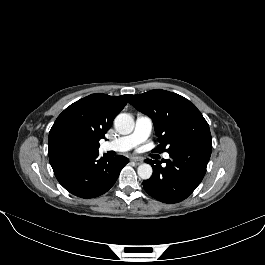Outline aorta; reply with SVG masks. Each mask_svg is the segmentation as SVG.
Listing matches in <instances>:
<instances>
[{
    "label": "aorta",
    "mask_w": 265,
    "mask_h": 265,
    "mask_svg": "<svg viewBox=\"0 0 265 265\" xmlns=\"http://www.w3.org/2000/svg\"><path fill=\"white\" fill-rule=\"evenodd\" d=\"M115 129L122 135L130 134L135 126L134 119L127 113H120L114 120ZM138 175L141 179L147 180L152 176L153 169L151 165L144 163L137 169Z\"/></svg>",
    "instance_id": "aorta-1"
}]
</instances>
